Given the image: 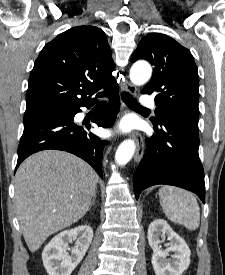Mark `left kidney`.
Segmentation results:
<instances>
[{"instance_id":"5707ae66","label":"left kidney","mask_w":225,"mask_h":275,"mask_svg":"<svg viewBox=\"0 0 225 275\" xmlns=\"http://www.w3.org/2000/svg\"><path fill=\"white\" fill-rule=\"evenodd\" d=\"M168 237L169 247L163 251L161 240ZM148 243L153 250L152 265L156 275H181L190 265V249L186 242L176 234L166 221L157 219L148 228ZM174 254L167 259L169 252Z\"/></svg>"}]
</instances>
